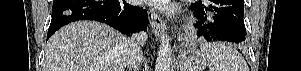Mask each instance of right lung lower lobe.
I'll return each instance as SVG.
<instances>
[{"label": "right lung lower lobe", "mask_w": 301, "mask_h": 71, "mask_svg": "<svg viewBox=\"0 0 301 71\" xmlns=\"http://www.w3.org/2000/svg\"><path fill=\"white\" fill-rule=\"evenodd\" d=\"M52 13L47 38L78 20L103 22L126 35L146 30L148 24L147 11L125 0H54Z\"/></svg>", "instance_id": "obj_1"}]
</instances>
